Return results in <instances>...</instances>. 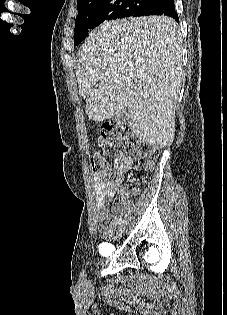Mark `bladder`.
Instances as JSON below:
<instances>
[{"label":"bladder","mask_w":227,"mask_h":315,"mask_svg":"<svg viewBox=\"0 0 227 315\" xmlns=\"http://www.w3.org/2000/svg\"><path fill=\"white\" fill-rule=\"evenodd\" d=\"M106 252H108L107 250H103V252L102 253H106Z\"/></svg>","instance_id":"obj_1"}]
</instances>
